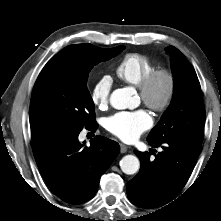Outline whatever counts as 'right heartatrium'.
Returning a JSON list of instances; mask_svg holds the SVG:
<instances>
[{
  "label": "right heart atrium",
  "instance_id": "obj_1",
  "mask_svg": "<svg viewBox=\"0 0 221 221\" xmlns=\"http://www.w3.org/2000/svg\"><path fill=\"white\" fill-rule=\"evenodd\" d=\"M112 90V79L105 75L100 77L93 85L90 92L92 103L99 109L108 106Z\"/></svg>",
  "mask_w": 221,
  "mask_h": 221
}]
</instances>
